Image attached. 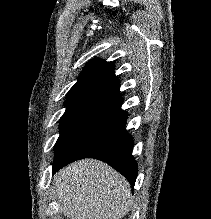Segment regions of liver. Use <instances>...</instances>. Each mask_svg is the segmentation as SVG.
<instances>
[{
    "instance_id": "1",
    "label": "liver",
    "mask_w": 211,
    "mask_h": 219,
    "mask_svg": "<svg viewBox=\"0 0 211 219\" xmlns=\"http://www.w3.org/2000/svg\"><path fill=\"white\" fill-rule=\"evenodd\" d=\"M54 181L59 211L67 219H120L129 212L128 181L102 161L83 159L69 164Z\"/></svg>"
}]
</instances>
